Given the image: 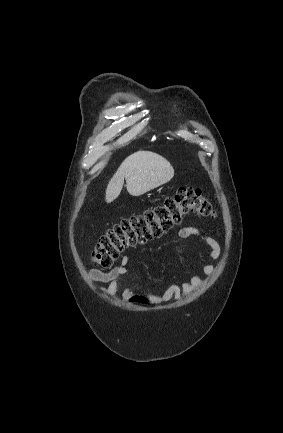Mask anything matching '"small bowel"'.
<instances>
[{
  "label": "small bowel",
  "instance_id": "obj_1",
  "mask_svg": "<svg viewBox=\"0 0 283 433\" xmlns=\"http://www.w3.org/2000/svg\"><path fill=\"white\" fill-rule=\"evenodd\" d=\"M177 237L181 240L191 239L194 245H198L201 241L210 249L208 254L209 260H215L221 253V247L217 240L213 238L207 231L195 226H186L178 230ZM130 258L124 256L119 265L109 271H101L92 269L89 271V278L93 281L103 282L106 284L102 291L109 296L114 297L118 290V284L122 277L128 273L127 266ZM204 275H211L214 272V266L211 264H204L201 268ZM200 276L193 274L188 279L182 281L180 284L169 285L161 293H143L136 294L131 288H125L122 295L126 298L140 295L146 301L153 304H165L171 300H179L183 295H188L198 289L202 285Z\"/></svg>",
  "mask_w": 283,
  "mask_h": 433
}]
</instances>
